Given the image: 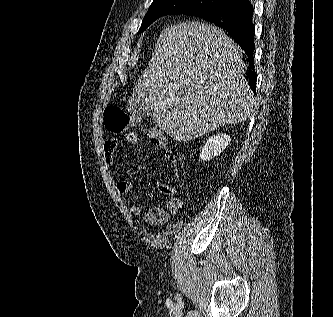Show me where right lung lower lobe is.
<instances>
[{"mask_svg": "<svg viewBox=\"0 0 333 317\" xmlns=\"http://www.w3.org/2000/svg\"><path fill=\"white\" fill-rule=\"evenodd\" d=\"M195 16L214 23L226 33L245 51L248 56V73L246 79L253 91L256 90L257 76L254 70L253 53L254 26L252 23L253 6L249 0H239L234 3H226L213 10L204 11Z\"/></svg>", "mask_w": 333, "mask_h": 317, "instance_id": "98d812e1", "label": "right lung lower lobe"}]
</instances>
